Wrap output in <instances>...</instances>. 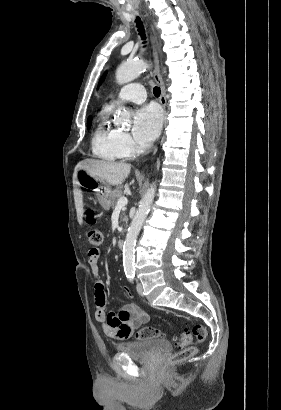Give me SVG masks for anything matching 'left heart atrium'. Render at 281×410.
<instances>
[{
  "label": "left heart atrium",
  "mask_w": 281,
  "mask_h": 410,
  "mask_svg": "<svg viewBox=\"0 0 281 410\" xmlns=\"http://www.w3.org/2000/svg\"><path fill=\"white\" fill-rule=\"evenodd\" d=\"M162 115L158 107L147 105L135 112L133 135L140 143H149L159 134Z\"/></svg>",
  "instance_id": "obj_1"
}]
</instances>
